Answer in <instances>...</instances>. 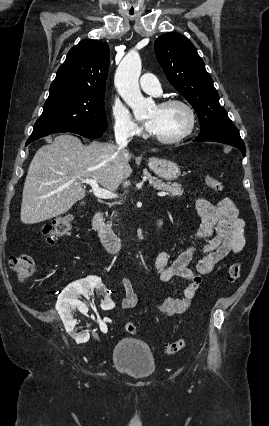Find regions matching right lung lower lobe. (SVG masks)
Wrapping results in <instances>:
<instances>
[{
    "label": "right lung lower lobe",
    "instance_id": "98d812e1",
    "mask_svg": "<svg viewBox=\"0 0 269 426\" xmlns=\"http://www.w3.org/2000/svg\"><path fill=\"white\" fill-rule=\"evenodd\" d=\"M102 132L103 131H98V130H92V129H88V128H82L78 131H75L73 133H77L81 136H84L86 138H90V139H95V138H99L102 136ZM31 140H28L26 145H28L29 143H31Z\"/></svg>",
    "mask_w": 269,
    "mask_h": 426
}]
</instances>
